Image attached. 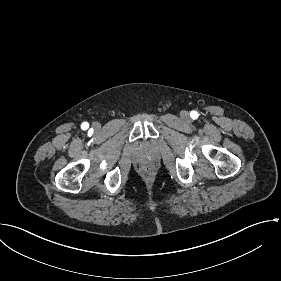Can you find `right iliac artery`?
I'll list each match as a JSON object with an SVG mask.
<instances>
[{
    "mask_svg": "<svg viewBox=\"0 0 281 281\" xmlns=\"http://www.w3.org/2000/svg\"><path fill=\"white\" fill-rule=\"evenodd\" d=\"M88 126H89V125H88V123H86V122L82 124V128H83V129H87Z\"/></svg>",
    "mask_w": 281,
    "mask_h": 281,
    "instance_id": "obj_1",
    "label": "right iliac artery"
}]
</instances>
